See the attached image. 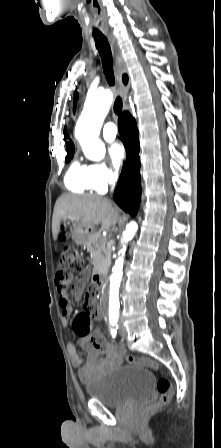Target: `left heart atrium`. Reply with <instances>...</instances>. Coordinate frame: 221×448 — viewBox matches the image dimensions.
<instances>
[{"label":"left heart atrium","instance_id":"obj_1","mask_svg":"<svg viewBox=\"0 0 221 448\" xmlns=\"http://www.w3.org/2000/svg\"><path fill=\"white\" fill-rule=\"evenodd\" d=\"M108 153L112 164L116 168H119L126 155L125 147L119 142H114L110 145Z\"/></svg>","mask_w":221,"mask_h":448}]
</instances>
